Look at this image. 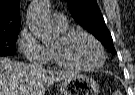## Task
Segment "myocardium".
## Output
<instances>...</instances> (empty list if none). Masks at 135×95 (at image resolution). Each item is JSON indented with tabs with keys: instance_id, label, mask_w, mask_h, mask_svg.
I'll use <instances>...</instances> for the list:
<instances>
[{
	"instance_id": "f54148a6",
	"label": "myocardium",
	"mask_w": 135,
	"mask_h": 95,
	"mask_svg": "<svg viewBox=\"0 0 135 95\" xmlns=\"http://www.w3.org/2000/svg\"><path fill=\"white\" fill-rule=\"evenodd\" d=\"M77 35H84L95 43V45L97 46V48L99 49V52H100V61L97 64L92 65V66H84V65L74 64V63H71V62L64 60L60 56V54L57 52V50L52 47L51 51H52V55H53V58L56 61V63L63 68L80 70V71H93V70H97L100 67H102L103 64L105 63V60H106V52H105L104 46L90 32L85 31V30H81V29L69 30V31L63 32L61 34L60 41L62 43H66Z\"/></svg>"
}]
</instances>
